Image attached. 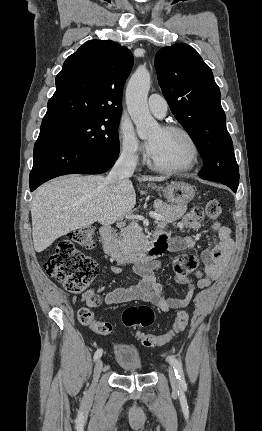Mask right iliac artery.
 <instances>
[{"instance_id": "obj_1", "label": "right iliac artery", "mask_w": 262, "mask_h": 431, "mask_svg": "<svg viewBox=\"0 0 262 431\" xmlns=\"http://www.w3.org/2000/svg\"><path fill=\"white\" fill-rule=\"evenodd\" d=\"M102 353H103L102 349H98L94 354V360L99 359L102 356Z\"/></svg>"}]
</instances>
